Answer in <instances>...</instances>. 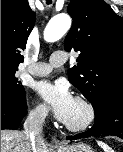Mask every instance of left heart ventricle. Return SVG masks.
<instances>
[{
	"mask_svg": "<svg viewBox=\"0 0 123 152\" xmlns=\"http://www.w3.org/2000/svg\"><path fill=\"white\" fill-rule=\"evenodd\" d=\"M85 116H86V111L84 107L79 102L74 100V104L70 112V115L67 119V122L79 123L84 120Z\"/></svg>",
	"mask_w": 123,
	"mask_h": 152,
	"instance_id": "left-heart-ventricle-1",
	"label": "left heart ventricle"
}]
</instances>
